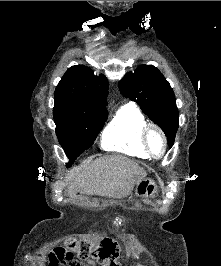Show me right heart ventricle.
Instances as JSON below:
<instances>
[{
  "instance_id": "1",
  "label": "right heart ventricle",
  "mask_w": 221,
  "mask_h": 266,
  "mask_svg": "<svg viewBox=\"0 0 221 266\" xmlns=\"http://www.w3.org/2000/svg\"><path fill=\"white\" fill-rule=\"evenodd\" d=\"M146 125V118L137 107L123 106L103 131V148L130 156L148 158L149 154L142 142V132Z\"/></svg>"
}]
</instances>
